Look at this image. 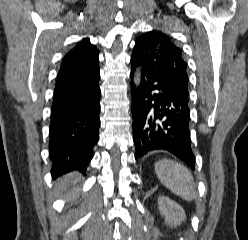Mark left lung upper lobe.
<instances>
[{
  "label": "left lung upper lobe",
  "instance_id": "left-lung-upper-lobe-1",
  "mask_svg": "<svg viewBox=\"0 0 248 240\" xmlns=\"http://www.w3.org/2000/svg\"><path fill=\"white\" fill-rule=\"evenodd\" d=\"M131 60L179 94L189 96L187 63L181 49L167 34L153 30L141 35L135 43Z\"/></svg>",
  "mask_w": 248,
  "mask_h": 240
}]
</instances>
